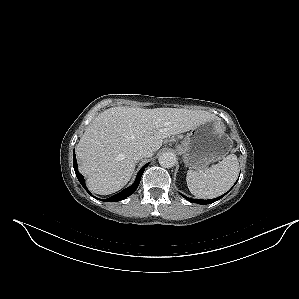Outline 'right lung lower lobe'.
Wrapping results in <instances>:
<instances>
[{
    "mask_svg": "<svg viewBox=\"0 0 299 299\" xmlns=\"http://www.w3.org/2000/svg\"><path fill=\"white\" fill-rule=\"evenodd\" d=\"M148 164H146L139 172H138V175H137V178L135 180V183L131 186H129L128 188L124 189L123 191H121L120 193L118 194H115L113 196H111L110 198H108L107 200L105 199L104 201L105 202H116V201H121L125 198H127L128 196H130L131 194L134 193V191L137 189L139 183H140V180H141V176L145 170V168L147 167ZM73 167H74V170H75V174L79 180V182L81 183V185L87 190L86 188V185H85V180H84V177L83 175H81L78 171V168H77V161H76V156H75V152H74V155H73ZM88 193L90 194V192L88 191ZM91 195V194H90ZM101 200V199H99ZM102 201V200H101Z\"/></svg>",
    "mask_w": 299,
    "mask_h": 299,
    "instance_id": "obj_1",
    "label": "right lung lower lobe"
}]
</instances>
